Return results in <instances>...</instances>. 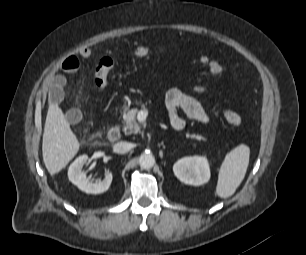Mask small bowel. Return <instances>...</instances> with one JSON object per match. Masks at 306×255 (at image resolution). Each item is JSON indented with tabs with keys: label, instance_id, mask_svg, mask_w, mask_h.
<instances>
[{
	"label": "small bowel",
	"instance_id": "1",
	"mask_svg": "<svg viewBox=\"0 0 306 255\" xmlns=\"http://www.w3.org/2000/svg\"><path fill=\"white\" fill-rule=\"evenodd\" d=\"M91 52L89 49H82L80 56L84 59L89 58ZM80 66L76 56L66 57L58 70L51 73L48 78L50 101L59 104L64 95V86L66 84V74L74 73ZM192 91L196 95H205L208 88L203 84H195ZM165 107L168 114V120L172 128L182 130L185 127V120L179 115L178 110L181 109L189 119L201 124H207L210 117L202 105L190 94L178 88L170 89L165 96ZM66 118L71 124L77 123L81 118V112L78 109L67 111Z\"/></svg>",
	"mask_w": 306,
	"mask_h": 255
}]
</instances>
